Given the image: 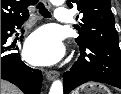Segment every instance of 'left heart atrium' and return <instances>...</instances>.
I'll return each mask as SVG.
<instances>
[{
  "label": "left heart atrium",
  "instance_id": "left-heart-atrium-1",
  "mask_svg": "<svg viewBox=\"0 0 121 94\" xmlns=\"http://www.w3.org/2000/svg\"><path fill=\"white\" fill-rule=\"evenodd\" d=\"M64 46L57 31L49 26L35 31L24 48L25 58L35 65H50L60 60Z\"/></svg>",
  "mask_w": 121,
  "mask_h": 94
}]
</instances>
